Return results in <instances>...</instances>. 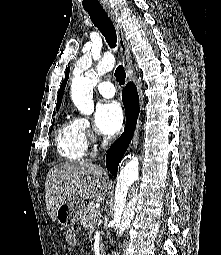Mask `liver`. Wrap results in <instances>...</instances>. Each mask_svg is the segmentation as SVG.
<instances>
[{
    "label": "liver",
    "instance_id": "obj_1",
    "mask_svg": "<svg viewBox=\"0 0 221 255\" xmlns=\"http://www.w3.org/2000/svg\"><path fill=\"white\" fill-rule=\"evenodd\" d=\"M108 186L103 169L91 162H65L54 166L45 183L46 209L52 221L56 210L69 199L104 201Z\"/></svg>",
    "mask_w": 221,
    "mask_h": 255
}]
</instances>
